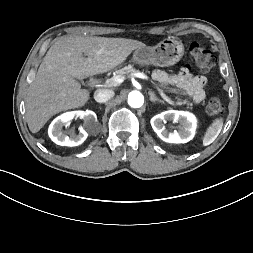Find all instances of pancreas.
Masks as SVG:
<instances>
[{
  "instance_id": "pancreas-1",
  "label": "pancreas",
  "mask_w": 253,
  "mask_h": 253,
  "mask_svg": "<svg viewBox=\"0 0 253 253\" xmlns=\"http://www.w3.org/2000/svg\"><path fill=\"white\" fill-rule=\"evenodd\" d=\"M134 72H137V70L135 68H133L132 65H128V66H125L119 70H116L115 73L118 76H123V75L129 74V73H134ZM176 99H177L176 105H187L188 109H192L191 102L187 101L186 99L183 100L180 97H177Z\"/></svg>"
}]
</instances>
